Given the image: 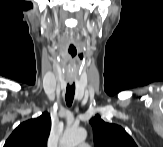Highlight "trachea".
<instances>
[{"instance_id": "3493384b", "label": "trachea", "mask_w": 163, "mask_h": 147, "mask_svg": "<svg viewBox=\"0 0 163 147\" xmlns=\"http://www.w3.org/2000/svg\"><path fill=\"white\" fill-rule=\"evenodd\" d=\"M74 95H75V83L67 84L66 95H65L67 106L70 107L72 105Z\"/></svg>"}]
</instances>
